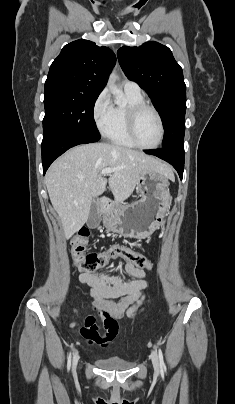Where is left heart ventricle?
Returning a JSON list of instances; mask_svg holds the SVG:
<instances>
[{
	"mask_svg": "<svg viewBox=\"0 0 235 404\" xmlns=\"http://www.w3.org/2000/svg\"><path fill=\"white\" fill-rule=\"evenodd\" d=\"M138 141L146 146L154 145L160 136L159 122L155 114L149 110L143 111L136 123Z\"/></svg>",
	"mask_w": 235,
	"mask_h": 404,
	"instance_id": "left-heart-ventricle-1",
	"label": "left heart ventricle"
}]
</instances>
